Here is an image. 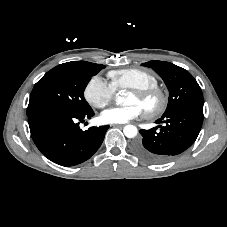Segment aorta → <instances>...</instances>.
Segmentation results:
<instances>
[{
	"instance_id": "1",
	"label": "aorta",
	"mask_w": 227,
	"mask_h": 227,
	"mask_svg": "<svg viewBox=\"0 0 227 227\" xmlns=\"http://www.w3.org/2000/svg\"><path fill=\"white\" fill-rule=\"evenodd\" d=\"M116 102H121L119 97L116 98ZM123 132L127 138H134L137 135L138 130L134 125H126L123 129Z\"/></svg>"
}]
</instances>
